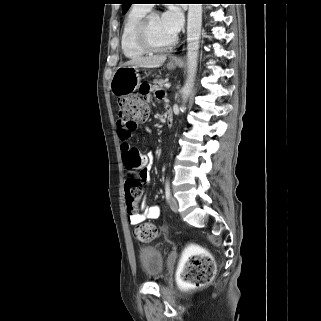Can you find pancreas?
Segmentation results:
<instances>
[{
    "label": "pancreas",
    "instance_id": "obj_1",
    "mask_svg": "<svg viewBox=\"0 0 321 321\" xmlns=\"http://www.w3.org/2000/svg\"><path fill=\"white\" fill-rule=\"evenodd\" d=\"M168 82V79H157L154 80V84L160 88H162L166 83Z\"/></svg>",
    "mask_w": 321,
    "mask_h": 321
}]
</instances>
